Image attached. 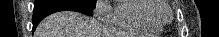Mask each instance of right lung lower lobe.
I'll return each mask as SVG.
<instances>
[{
  "label": "right lung lower lobe",
  "instance_id": "right-lung-lower-lobe-1",
  "mask_svg": "<svg viewBox=\"0 0 219 37\" xmlns=\"http://www.w3.org/2000/svg\"><path fill=\"white\" fill-rule=\"evenodd\" d=\"M63 10L76 11V12H81L86 15H92V12L74 3L65 2V1H57V2L48 3L45 5L34 7L33 31L35 30V28L37 27V25L40 23V21L43 18H45L46 16L54 12L63 11Z\"/></svg>",
  "mask_w": 219,
  "mask_h": 37
}]
</instances>
